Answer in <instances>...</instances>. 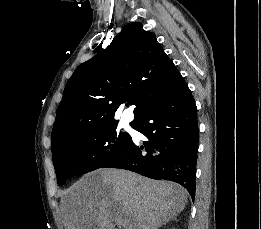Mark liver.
<instances>
[{"label": "liver", "mask_w": 261, "mask_h": 229, "mask_svg": "<svg viewBox=\"0 0 261 229\" xmlns=\"http://www.w3.org/2000/svg\"><path fill=\"white\" fill-rule=\"evenodd\" d=\"M188 199L184 187L123 169H97L69 187L62 199L66 229H159Z\"/></svg>", "instance_id": "1"}]
</instances>
